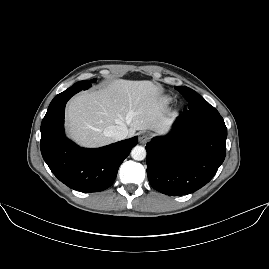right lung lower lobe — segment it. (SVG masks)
<instances>
[{"label": "right lung lower lobe", "mask_w": 269, "mask_h": 269, "mask_svg": "<svg viewBox=\"0 0 269 269\" xmlns=\"http://www.w3.org/2000/svg\"><path fill=\"white\" fill-rule=\"evenodd\" d=\"M91 87V83L89 84ZM83 86L73 85L51 101L41 124V153L53 174L74 190L89 193L110 187L123 160L137 145L138 137L98 149L81 148L64 135L67 101Z\"/></svg>", "instance_id": "1"}]
</instances>
